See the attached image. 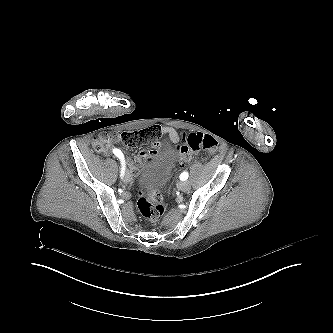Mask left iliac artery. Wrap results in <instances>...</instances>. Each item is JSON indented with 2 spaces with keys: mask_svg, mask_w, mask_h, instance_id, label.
<instances>
[{
  "mask_svg": "<svg viewBox=\"0 0 333 333\" xmlns=\"http://www.w3.org/2000/svg\"><path fill=\"white\" fill-rule=\"evenodd\" d=\"M180 179H181V180H186V179H188V172H183V173H181V175H180Z\"/></svg>",
  "mask_w": 333,
  "mask_h": 333,
  "instance_id": "44dca946",
  "label": "left iliac artery"
}]
</instances>
